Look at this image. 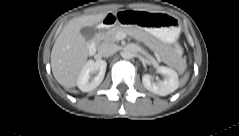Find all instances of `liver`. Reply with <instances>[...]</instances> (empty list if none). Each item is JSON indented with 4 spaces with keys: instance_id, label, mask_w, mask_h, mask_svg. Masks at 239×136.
I'll list each match as a JSON object with an SVG mask.
<instances>
[{
    "instance_id": "liver-1",
    "label": "liver",
    "mask_w": 239,
    "mask_h": 136,
    "mask_svg": "<svg viewBox=\"0 0 239 136\" xmlns=\"http://www.w3.org/2000/svg\"><path fill=\"white\" fill-rule=\"evenodd\" d=\"M105 13L74 18L63 28L51 51V68L55 79L66 89L76 86L82 67L90 55L89 44L81 35L85 26H93Z\"/></svg>"
}]
</instances>
